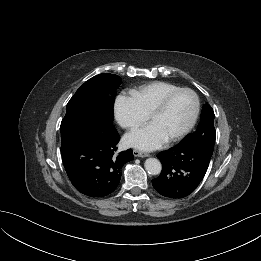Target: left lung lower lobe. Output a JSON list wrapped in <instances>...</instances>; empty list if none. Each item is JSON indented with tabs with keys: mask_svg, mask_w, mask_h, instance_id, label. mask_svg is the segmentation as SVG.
Masks as SVG:
<instances>
[{
	"mask_svg": "<svg viewBox=\"0 0 261 261\" xmlns=\"http://www.w3.org/2000/svg\"><path fill=\"white\" fill-rule=\"evenodd\" d=\"M212 154L205 148L179 143L157 157L162 163L161 174L152 180L155 190L167 198L190 195L204 178Z\"/></svg>",
	"mask_w": 261,
	"mask_h": 261,
	"instance_id": "left-lung-lower-lobe-1",
	"label": "left lung lower lobe"
}]
</instances>
